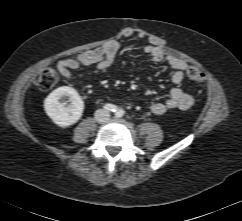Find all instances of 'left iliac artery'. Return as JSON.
<instances>
[{
  "label": "left iliac artery",
  "instance_id": "left-iliac-artery-1",
  "mask_svg": "<svg viewBox=\"0 0 242 221\" xmlns=\"http://www.w3.org/2000/svg\"><path fill=\"white\" fill-rule=\"evenodd\" d=\"M123 114H124V111L122 109H119V110L116 111L115 116L116 117H122Z\"/></svg>",
  "mask_w": 242,
  "mask_h": 221
}]
</instances>
